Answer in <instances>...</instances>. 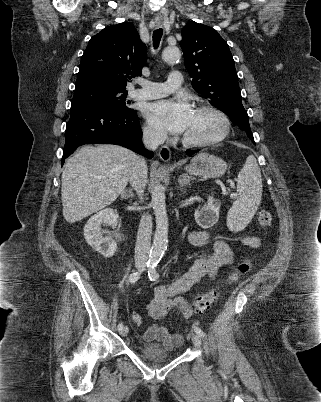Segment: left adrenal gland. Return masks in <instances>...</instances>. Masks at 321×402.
Returning <instances> with one entry per match:
<instances>
[{
    "label": "left adrenal gland",
    "instance_id": "1",
    "mask_svg": "<svg viewBox=\"0 0 321 402\" xmlns=\"http://www.w3.org/2000/svg\"><path fill=\"white\" fill-rule=\"evenodd\" d=\"M190 180H195V178L188 174H182L178 180L180 187L183 188L186 184H189Z\"/></svg>",
    "mask_w": 321,
    "mask_h": 402
}]
</instances>
